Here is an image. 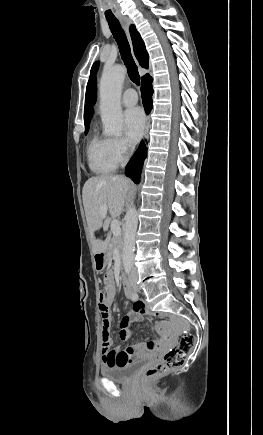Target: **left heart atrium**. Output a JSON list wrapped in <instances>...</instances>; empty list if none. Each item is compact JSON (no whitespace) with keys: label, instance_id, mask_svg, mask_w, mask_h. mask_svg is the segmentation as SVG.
<instances>
[{"label":"left heart atrium","instance_id":"39dd6f15","mask_svg":"<svg viewBox=\"0 0 263 435\" xmlns=\"http://www.w3.org/2000/svg\"><path fill=\"white\" fill-rule=\"evenodd\" d=\"M124 124L127 139L131 143L138 142L145 128L143 111L138 107L128 109L124 114Z\"/></svg>","mask_w":263,"mask_h":435}]
</instances>
